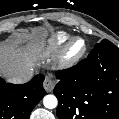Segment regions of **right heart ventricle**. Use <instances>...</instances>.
<instances>
[{
    "label": "right heart ventricle",
    "instance_id": "e07e8e85",
    "mask_svg": "<svg viewBox=\"0 0 119 119\" xmlns=\"http://www.w3.org/2000/svg\"><path fill=\"white\" fill-rule=\"evenodd\" d=\"M70 35L67 32L59 31L55 33L46 44V52L50 53L56 49H58L61 45H63L68 39Z\"/></svg>",
    "mask_w": 119,
    "mask_h": 119
}]
</instances>
